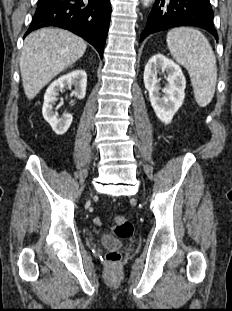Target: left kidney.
Masks as SVG:
<instances>
[{"instance_id":"1","label":"left kidney","mask_w":232,"mask_h":311,"mask_svg":"<svg viewBox=\"0 0 232 311\" xmlns=\"http://www.w3.org/2000/svg\"><path fill=\"white\" fill-rule=\"evenodd\" d=\"M166 73L165 87L160 94L158 74ZM144 85L149 92V99L156 116L165 124L183 104L186 80L179 65L162 54L153 55L145 65Z\"/></svg>"}]
</instances>
